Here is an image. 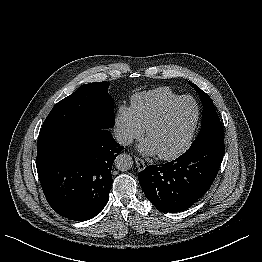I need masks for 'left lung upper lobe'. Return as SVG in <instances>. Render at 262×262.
I'll list each match as a JSON object with an SVG mask.
<instances>
[{"label": "left lung upper lobe", "mask_w": 262, "mask_h": 262, "mask_svg": "<svg viewBox=\"0 0 262 262\" xmlns=\"http://www.w3.org/2000/svg\"><path fill=\"white\" fill-rule=\"evenodd\" d=\"M199 94L203 104V119L198 136L189 149L207 144H224V133L212 99L194 83L188 82Z\"/></svg>", "instance_id": "5c2ea615"}]
</instances>
